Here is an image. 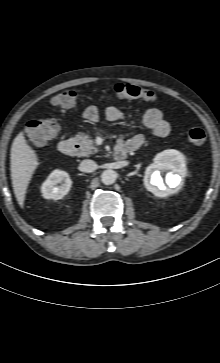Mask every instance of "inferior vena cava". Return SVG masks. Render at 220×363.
I'll return each mask as SVG.
<instances>
[{
	"mask_svg": "<svg viewBox=\"0 0 220 363\" xmlns=\"http://www.w3.org/2000/svg\"><path fill=\"white\" fill-rule=\"evenodd\" d=\"M98 168V165L95 161L85 159L80 163V170L83 172H94Z\"/></svg>",
	"mask_w": 220,
	"mask_h": 363,
	"instance_id": "inferior-vena-cava-1",
	"label": "inferior vena cava"
}]
</instances>
